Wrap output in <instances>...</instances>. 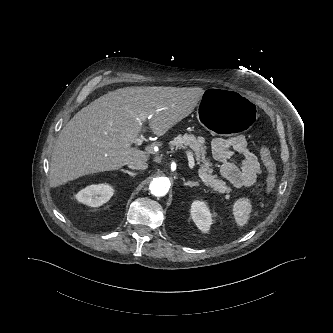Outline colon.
Returning <instances> with one entry per match:
<instances>
[{
  "label": "colon",
  "mask_w": 333,
  "mask_h": 333,
  "mask_svg": "<svg viewBox=\"0 0 333 333\" xmlns=\"http://www.w3.org/2000/svg\"><path fill=\"white\" fill-rule=\"evenodd\" d=\"M260 156L268 173L267 190L271 191L274 188L276 182V164L268 147H262L260 149Z\"/></svg>",
  "instance_id": "1"
}]
</instances>
